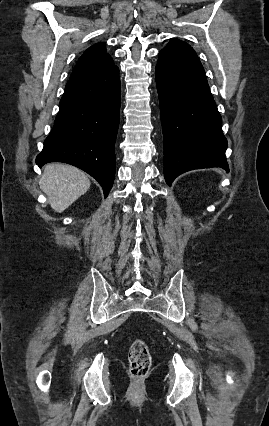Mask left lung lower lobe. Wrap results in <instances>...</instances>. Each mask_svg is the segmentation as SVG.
I'll return each mask as SVG.
<instances>
[{
    "label": "left lung lower lobe",
    "mask_w": 269,
    "mask_h": 426,
    "mask_svg": "<svg viewBox=\"0 0 269 426\" xmlns=\"http://www.w3.org/2000/svg\"><path fill=\"white\" fill-rule=\"evenodd\" d=\"M158 56L155 71L167 184L193 169L228 171L222 119L195 51L172 38Z\"/></svg>",
    "instance_id": "obj_1"
}]
</instances>
